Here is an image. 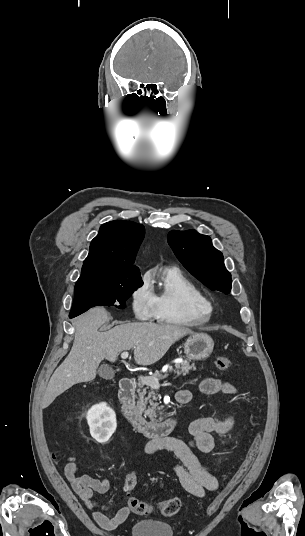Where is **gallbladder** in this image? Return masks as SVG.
Listing matches in <instances>:
<instances>
[{"mask_svg":"<svg viewBox=\"0 0 305 536\" xmlns=\"http://www.w3.org/2000/svg\"><path fill=\"white\" fill-rule=\"evenodd\" d=\"M98 374L100 378H104V380H112V378H114V372L112 368H109V366H105V364H103V366H100Z\"/></svg>","mask_w":305,"mask_h":536,"instance_id":"bac80fb5","label":"gallbladder"}]
</instances>
